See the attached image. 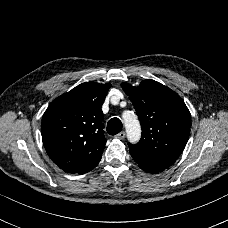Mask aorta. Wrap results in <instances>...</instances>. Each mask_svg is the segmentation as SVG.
Returning <instances> with one entry per match:
<instances>
[{
	"label": "aorta",
	"mask_w": 228,
	"mask_h": 228,
	"mask_svg": "<svg viewBox=\"0 0 228 228\" xmlns=\"http://www.w3.org/2000/svg\"><path fill=\"white\" fill-rule=\"evenodd\" d=\"M122 118L128 134V140L132 143L139 141L141 137V126L137 115L133 111H124Z\"/></svg>",
	"instance_id": "1"
}]
</instances>
